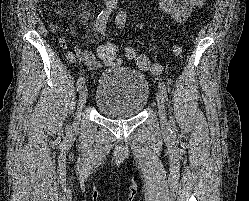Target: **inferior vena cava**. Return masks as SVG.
<instances>
[{
    "mask_svg": "<svg viewBox=\"0 0 249 201\" xmlns=\"http://www.w3.org/2000/svg\"><path fill=\"white\" fill-rule=\"evenodd\" d=\"M106 2L107 5H112V4H116L117 0H104Z\"/></svg>",
    "mask_w": 249,
    "mask_h": 201,
    "instance_id": "1",
    "label": "inferior vena cava"
}]
</instances>
